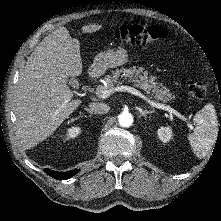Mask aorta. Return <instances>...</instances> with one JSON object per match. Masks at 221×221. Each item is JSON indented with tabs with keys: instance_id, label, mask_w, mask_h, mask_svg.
Listing matches in <instances>:
<instances>
[{
	"instance_id": "obj_1",
	"label": "aorta",
	"mask_w": 221,
	"mask_h": 221,
	"mask_svg": "<svg viewBox=\"0 0 221 221\" xmlns=\"http://www.w3.org/2000/svg\"><path fill=\"white\" fill-rule=\"evenodd\" d=\"M118 122L122 127H129L133 123V116L129 112H123L119 115Z\"/></svg>"
}]
</instances>
